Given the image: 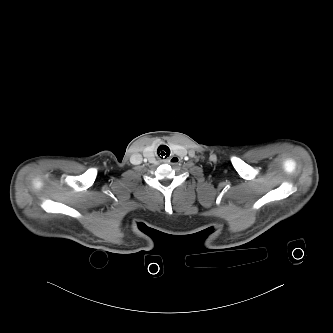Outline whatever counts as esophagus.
Segmentation results:
<instances>
[{"mask_svg": "<svg viewBox=\"0 0 333 333\" xmlns=\"http://www.w3.org/2000/svg\"><path fill=\"white\" fill-rule=\"evenodd\" d=\"M168 162L171 164H178L180 162V158L177 156H172L168 159Z\"/></svg>", "mask_w": 333, "mask_h": 333, "instance_id": "esophagus-1", "label": "esophagus"}]
</instances>
